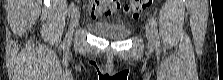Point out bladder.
Here are the masks:
<instances>
[{
    "mask_svg": "<svg viewBox=\"0 0 223 80\" xmlns=\"http://www.w3.org/2000/svg\"><path fill=\"white\" fill-rule=\"evenodd\" d=\"M88 28L100 37L113 40L125 39L131 33L127 27L105 23H90Z\"/></svg>",
    "mask_w": 223,
    "mask_h": 80,
    "instance_id": "1",
    "label": "bladder"
}]
</instances>
